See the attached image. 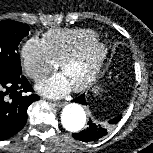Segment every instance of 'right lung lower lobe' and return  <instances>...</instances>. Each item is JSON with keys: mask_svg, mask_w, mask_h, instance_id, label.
Returning <instances> with one entry per match:
<instances>
[{"mask_svg": "<svg viewBox=\"0 0 153 153\" xmlns=\"http://www.w3.org/2000/svg\"><path fill=\"white\" fill-rule=\"evenodd\" d=\"M25 76L0 69V141L18 133L27 121V108L40 99Z\"/></svg>", "mask_w": 153, "mask_h": 153, "instance_id": "98d812e1", "label": "right lung lower lobe"}]
</instances>
